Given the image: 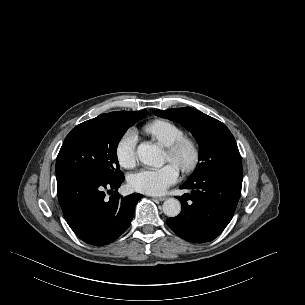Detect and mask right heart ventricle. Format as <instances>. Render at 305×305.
Returning <instances> with one entry per match:
<instances>
[{
  "label": "right heart ventricle",
  "instance_id": "e07e8e85",
  "mask_svg": "<svg viewBox=\"0 0 305 305\" xmlns=\"http://www.w3.org/2000/svg\"><path fill=\"white\" fill-rule=\"evenodd\" d=\"M144 130L153 139L168 147L178 139L184 137V131L178 125L162 119H157L147 123Z\"/></svg>",
  "mask_w": 305,
  "mask_h": 305
}]
</instances>
